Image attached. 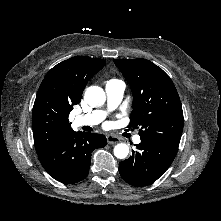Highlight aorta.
<instances>
[{"label": "aorta", "mask_w": 221, "mask_h": 221, "mask_svg": "<svg viewBox=\"0 0 221 221\" xmlns=\"http://www.w3.org/2000/svg\"><path fill=\"white\" fill-rule=\"evenodd\" d=\"M85 101L92 107L100 106L104 104L106 96L101 87L90 86L86 89ZM129 154V147L125 143H119L114 147V155L119 159H124Z\"/></svg>", "instance_id": "1"}]
</instances>
